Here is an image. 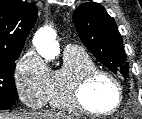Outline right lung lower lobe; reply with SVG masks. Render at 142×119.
Wrapping results in <instances>:
<instances>
[{
    "label": "right lung lower lobe",
    "instance_id": "1",
    "mask_svg": "<svg viewBox=\"0 0 142 119\" xmlns=\"http://www.w3.org/2000/svg\"><path fill=\"white\" fill-rule=\"evenodd\" d=\"M12 105H13V104L0 103V110L8 109V108H10Z\"/></svg>",
    "mask_w": 142,
    "mask_h": 119
}]
</instances>
